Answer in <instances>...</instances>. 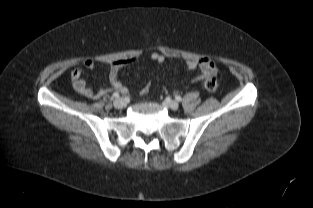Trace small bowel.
<instances>
[{
	"mask_svg": "<svg viewBox=\"0 0 313 208\" xmlns=\"http://www.w3.org/2000/svg\"><path fill=\"white\" fill-rule=\"evenodd\" d=\"M150 57L153 61L158 63H163L165 61V56L158 52H153ZM134 59L135 58L133 57H128L113 61L110 64L109 69V85L102 87L97 91H94L91 87H89L83 77L84 69L90 70L95 66V61L93 59H86L83 62L84 69L76 68L71 72V80L74 91L79 95L92 99H98L111 90H117L123 94H127L128 89L118 80V74L124 66L134 61ZM186 67L191 71L199 69L200 73L197 77V80L199 81L204 80L212 73H216V66L209 58L189 59L186 61Z\"/></svg>",
	"mask_w": 313,
	"mask_h": 208,
	"instance_id": "c3829d8e",
	"label": "small bowel"
}]
</instances>
